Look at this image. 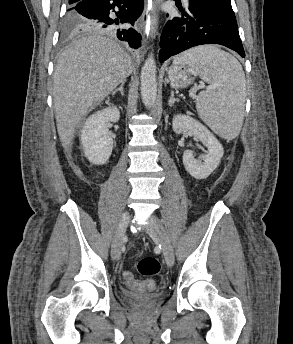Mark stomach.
<instances>
[{
    "instance_id": "obj_1",
    "label": "stomach",
    "mask_w": 293,
    "mask_h": 344,
    "mask_svg": "<svg viewBox=\"0 0 293 344\" xmlns=\"http://www.w3.org/2000/svg\"><path fill=\"white\" fill-rule=\"evenodd\" d=\"M197 74L198 71L194 67L175 59L168 69V80L173 87L184 88L193 83V76Z\"/></svg>"
}]
</instances>
